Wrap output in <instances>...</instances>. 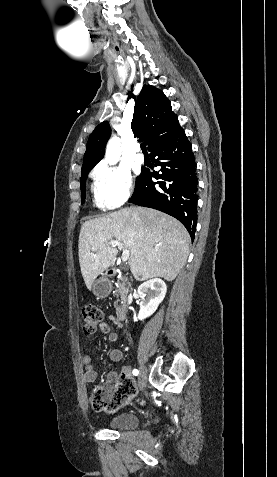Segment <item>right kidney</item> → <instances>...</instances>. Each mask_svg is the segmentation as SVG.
<instances>
[{
    "instance_id": "right-kidney-1",
    "label": "right kidney",
    "mask_w": 277,
    "mask_h": 477,
    "mask_svg": "<svg viewBox=\"0 0 277 477\" xmlns=\"http://www.w3.org/2000/svg\"><path fill=\"white\" fill-rule=\"evenodd\" d=\"M167 287L163 280L159 278L150 279L142 283L137 290V295L141 299L138 318L144 320L151 316L163 301Z\"/></svg>"
}]
</instances>
